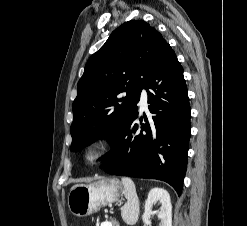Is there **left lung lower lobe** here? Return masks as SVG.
I'll use <instances>...</instances> for the list:
<instances>
[{
    "label": "left lung lower lobe",
    "mask_w": 247,
    "mask_h": 226,
    "mask_svg": "<svg viewBox=\"0 0 247 226\" xmlns=\"http://www.w3.org/2000/svg\"><path fill=\"white\" fill-rule=\"evenodd\" d=\"M142 88L148 94L149 120L144 115L146 124L137 123V107L104 155L106 161L101 168L113 175L165 181L180 195L187 166L191 110L183 68L168 43Z\"/></svg>",
    "instance_id": "obj_1"
}]
</instances>
